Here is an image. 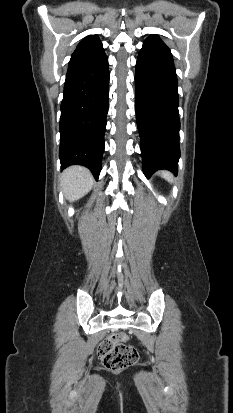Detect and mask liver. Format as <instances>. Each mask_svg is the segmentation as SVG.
I'll use <instances>...</instances> for the list:
<instances>
[{
    "instance_id": "6515ba94",
    "label": "liver",
    "mask_w": 233,
    "mask_h": 413,
    "mask_svg": "<svg viewBox=\"0 0 233 413\" xmlns=\"http://www.w3.org/2000/svg\"><path fill=\"white\" fill-rule=\"evenodd\" d=\"M93 178L88 169L82 166L67 168L61 177V186L69 201H75L86 195L92 188Z\"/></svg>"
}]
</instances>
